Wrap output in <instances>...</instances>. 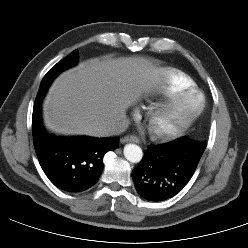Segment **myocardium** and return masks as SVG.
I'll return each instance as SVG.
<instances>
[{
	"mask_svg": "<svg viewBox=\"0 0 248 248\" xmlns=\"http://www.w3.org/2000/svg\"><path fill=\"white\" fill-rule=\"evenodd\" d=\"M195 95L200 97L199 104L190 112L181 114L183 104ZM205 105V95L197 89H190L173 95L151 114L148 119L149 130L160 140L178 138L199 118Z\"/></svg>",
	"mask_w": 248,
	"mask_h": 248,
	"instance_id": "obj_1",
	"label": "myocardium"
}]
</instances>
